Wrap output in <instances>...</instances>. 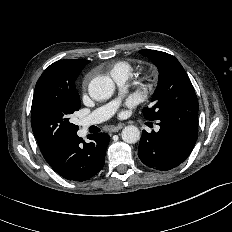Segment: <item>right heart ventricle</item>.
<instances>
[{
    "mask_svg": "<svg viewBox=\"0 0 232 232\" xmlns=\"http://www.w3.org/2000/svg\"><path fill=\"white\" fill-rule=\"evenodd\" d=\"M131 71H132V66L128 61H117L111 66L110 69V73L112 77L120 74L130 75Z\"/></svg>",
    "mask_w": 232,
    "mask_h": 232,
    "instance_id": "1",
    "label": "right heart ventricle"
}]
</instances>
